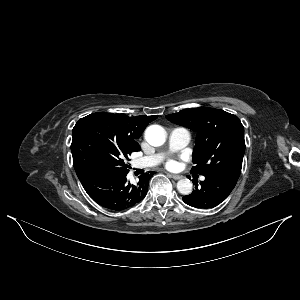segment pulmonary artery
<instances>
[{"label": "pulmonary artery", "mask_w": 300, "mask_h": 300, "mask_svg": "<svg viewBox=\"0 0 300 300\" xmlns=\"http://www.w3.org/2000/svg\"><path fill=\"white\" fill-rule=\"evenodd\" d=\"M191 140V134L188 129L183 127H176L171 130L169 134L168 144L171 150H179L185 147ZM163 159V154L156 153L151 156L137 159L133 162L135 168L143 169L158 165ZM201 177V180H204Z\"/></svg>", "instance_id": "e3ab8cb5"}]
</instances>
